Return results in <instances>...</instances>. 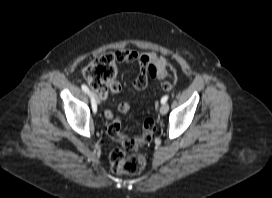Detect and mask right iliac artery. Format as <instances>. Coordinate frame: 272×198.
Segmentation results:
<instances>
[{"mask_svg":"<svg viewBox=\"0 0 272 198\" xmlns=\"http://www.w3.org/2000/svg\"><path fill=\"white\" fill-rule=\"evenodd\" d=\"M81 88L85 93H87L91 97L92 109H93V112L95 113L97 111V105L93 97L91 96V92L89 91V88L85 84H82Z\"/></svg>","mask_w":272,"mask_h":198,"instance_id":"right-iliac-artery-1","label":"right iliac artery"}]
</instances>
